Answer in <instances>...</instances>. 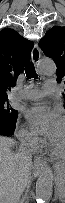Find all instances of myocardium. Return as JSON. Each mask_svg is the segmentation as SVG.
Here are the masks:
<instances>
[{
    "mask_svg": "<svg viewBox=\"0 0 65 203\" xmlns=\"http://www.w3.org/2000/svg\"><path fill=\"white\" fill-rule=\"evenodd\" d=\"M49 150H50L51 154H52L53 156H55V157H58V158H63V157H65V152H63V153L58 152V151L52 146L51 142L49 143Z\"/></svg>",
    "mask_w": 65,
    "mask_h": 203,
    "instance_id": "myocardium-1",
    "label": "myocardium"
}]
</instances>
